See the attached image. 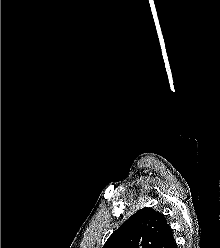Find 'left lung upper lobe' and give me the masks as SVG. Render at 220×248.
<instances>
[{
  "label": "left lung upper lobe",
  "mask_w": 220,
  "mask_h": 248,
  "mask_svg": "<svg viewBox=\"0 0 220 248\" xmlns=\"http://www.w3.org/2000/svg\"><path fill=\"white\" fill-rule=\"evenodd\" d=\"M173 241L165 216L145 207L115 230L103 248H168Z\"/></svg>",
  "instance_id": "1"
}]
</instances>
